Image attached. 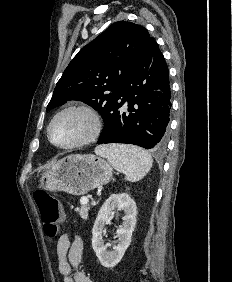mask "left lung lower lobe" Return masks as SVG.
<instances>
[{
	"mask_svg": "<svg viewBox=\"0 0 232 282\" xmlns=\"http://www.w3.org/2000/svg\"><path fill=\"white\" fill-rule=\"evenodd\" d=\"M126 101L128 112H123ZM170 109L168 67L151 38L140 61L122 83L117 102L104 118L98 144L125 143L163 149L168 140Z\"/></svg>",
	"mask_w": 232,
	"mask_h": 282,
	"instance_id": "obj_1",
	"label": "left lung lower lobe"
}]
</instances>
